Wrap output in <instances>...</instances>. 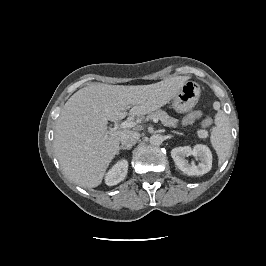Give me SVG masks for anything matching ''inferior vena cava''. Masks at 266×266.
<instances>
[{
  "mask_svg": "<svg viewBox=\"0 0 266 266\" xmlns=\"http://www.w3.org/2000/svg\"><path fill=\"white\" fill-rule=\"evenodd\" d=\"M139 138H140V134L138 132L127 131L121 136L120 142L122 146L130 149L133 145L137 143Z\"/></svg>",
  "mask_w": 266,
  "mask_h": 266,
  "instance_id": "1",
  "label": "inferior vena cava"
}]
</instances>
